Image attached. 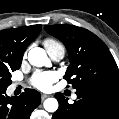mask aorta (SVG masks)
Returning <instances> with one entry per match:
<instances>
[{
	"instance_id": "1",
	"label": "aorta",
	"mask_w": 119,
	"mask_h": 119,
	"mask_svg": "<svg viewBox=\"0 0 119 119\" xmlns=\"http://www.w3.org/2000/svg\"><path fill=\"white\" fill-rule=\"evenodd\" d=\"M28 60L31 65L42 67L49 64L46 52L39 47L32 48L28 53ZM44 109L48 112H55L58 109V101L55 98H48L44 101Z\"/></svg>"
}]
</instances>
